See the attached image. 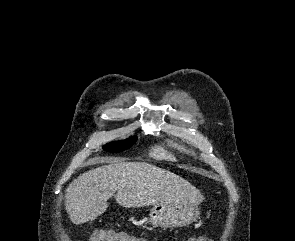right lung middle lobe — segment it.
<instances>
[{
  "instance_id": "right-lung-middle-lobe-1",
  "label": "right lung middle lobe",
  "mask_w": 295,
  "mask_h": 241,
  "mask_svg": "<svg viewBox=\"0 0 295 241\" xmlns=\"http://www.w3.org/2000/svg\"><path fill=\"white\" fill-rule=\"evenodd\" d=\"M137 138L132 137L124 141L111 142L103 147V149L107 152H120L130 148L135 142Z\"/></svg>"
}]
</instances>
